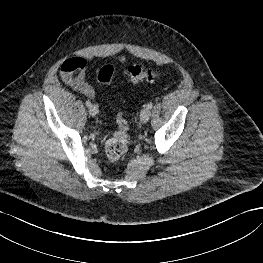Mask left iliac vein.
<instances>
[{"instance_id": "1", "label": "left iliac vein", "mask_w": 263, "mask_h": 263, "mask_svg": "<svg viewBox=\"0 0 263 263\" xmlns=\"http://www.w3.org/2000/svg\"><path fill=\"white\" fill-rule=\"evenodd\" d=\"M150 118V110L148 108H144L140 113V120L142 123H146Z\"/></svg>"}]
</instances>
